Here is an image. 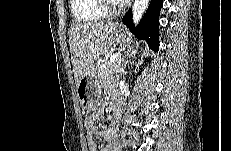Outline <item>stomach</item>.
<instances>
[{"label": "stomach", "mask_w": 231, "mask_h": 151, "mask_svg": "<svg viewBox=\"0 0 231 151\" xmlns=\"http://www.w3.org/2000/svg\"><path fill=\"white\" fill-rule=\"evenodd\" d=\"M114 41L119 44H124L126 41L125 31L122 28L114 30ZM97 62L86 71L77 85V96L84 110L93 109L98 103L101 96L100 81L97 75Z\"/></svg>", "instance_id": "stomach-1"}]
</instances>
